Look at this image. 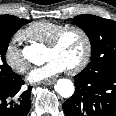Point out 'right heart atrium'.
I'll list each match as a JSON object with an SVG mask.
<instances>
[{
    "mask_svg": "<svg viewBox=\"0 0 116 116\" xmlns=\"http://www.w3.org/2000/svg\"><path fill=\"white\" fill-rule=\"evenodd\" d=\"M23 39L22 35L19 33L13 37L6 45L3 53V58L6 65L15 73L22 74L26 72L29 64L25 57L23 56L19 43Z\"/></svg>",
    "mask_w": 116,
    "mask_h": 116,
    "instance_id": "right-heart-atrium-1",
    "label": "right heart atrium"
}]
</instances>
